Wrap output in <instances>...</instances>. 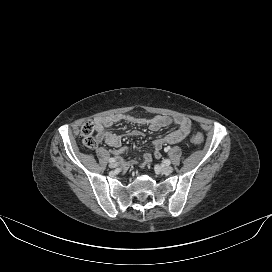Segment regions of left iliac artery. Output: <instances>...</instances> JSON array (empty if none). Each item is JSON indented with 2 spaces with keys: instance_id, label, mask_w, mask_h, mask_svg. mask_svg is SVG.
Listing matches in <instances>:
<instances>
[{
  "instance_id": "44dca946",
  "label": "left iliac artery",
  "mask_w": 272,
  "mask_h": 272,
  "mask_svg": "<svg viewBox=\"0 0 272 272\" xmlns=\"http://www.w3.org/2000/svg\"><path fill=\"white\" fill-rule=\"evenodd\" d=\"M165 151L167 152V151H168V148H166ZM170 163H171V162H170L169 159L164 160V164H165V165L168 166V165H170Z\"/></svg>"
}]
</instances>
